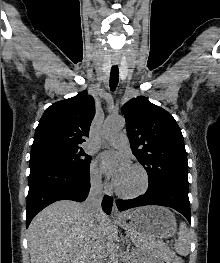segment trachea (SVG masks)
Segmentation results:
<instances>
[{"label":"trachea","mask_w":220,"mask_h":263,"mask_svg":"<svg viewBox=\"0 0 220 263\" xmlns=\"http://www.w3.org/2000/svg\"><path fill=\"white\" fill-rule=\"evenodd\" d=\"M119 81V69L118 66H112L111 72H110V89L111 91H114L118 85Z\"/></svg>","instance_id":"trachea-1"}]
</instances>
